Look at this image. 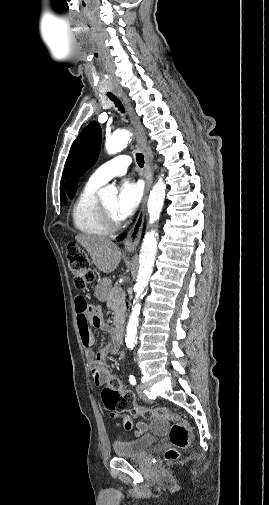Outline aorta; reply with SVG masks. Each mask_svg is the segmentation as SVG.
Here are the masks:
<instances>
[{
    "label": "aorta",
    "instance_id": "762f6f07",
    "mask_svg": "<svg viewBox=\"0 0 269 505\" xmlns=\"http://www.w3.org/2000/svg\"><path fill=\"white\" fill-rule=\"evenodd\" d=\"M131 132L123 129L119 130L106 139L105 148L108 154H116L128 145L130 141ZM166 185L162 177H160L154 184L147 203V210L149 215V223L153 224L160 218V213L163 208L165 199ZM118 190L113 185H108L99 191V197L102 200H110L116 197ZM157 233L151 229L145 234L143 243L140 250L139 258V271L134 286L135 298L129 321L126 329V346L133 349L137 338V327L140 314V299L143 297L145 288L148 285L150 276L153 271L155 257L157 253Z\"/></svg>",
    "mask_w": 269,
    "mask_h": 505
}]
</instances>
